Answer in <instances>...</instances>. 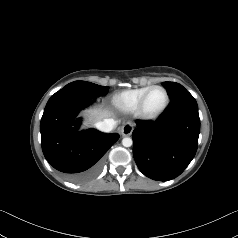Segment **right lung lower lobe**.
Wrapping results in <instances>:
<instances>
[{
	"mask_svg": "<svg viewBox=\"0 0 238 238\" xmlns=\"http://www.w3.org/2000/svg\"><path fill=\"white\" fill-rule=\"evenodd\" d=\"M95 97L77 87H65L51 96L41 118V145L45 158L72 182H85L100 170L101 157L119 139L116 133L79 130V111Z\"/></svg>",
	"mask_w": 238,
	"mask_h": 238,
	"instance_id": "98d812e1",
	"label": "right lung lower lobe"
}]
</instances>
